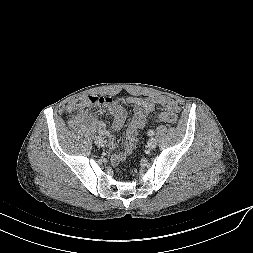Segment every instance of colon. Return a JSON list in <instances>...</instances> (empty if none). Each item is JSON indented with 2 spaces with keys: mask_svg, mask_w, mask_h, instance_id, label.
I'll use <instances>...</instances> for the list:
<instances>
[{
  "mask_svg": "<svg viewBox=\"0 0 253 253\" xmlns=\"http://www.w3.org/2000/svg\"><path fill=\"white\" fill-rule=\"evenodd\" d=\"M99 107H106L108 108L113 114L116 107L122 108L124 104L122 101H114L111 98L100 97V96H93V95H84L77 97L74 101H72L68 105V111L72 114L81 113L89 108H99ZM177 115L173 113H167L161 115L159 121H164L168 123H176L177 122Z\"/></svg>",
  "mask_w": 253,
  "mask_h": 253,
  "instance_id": "5ec220e1",
  "label": "colon"
}]
</instances>
